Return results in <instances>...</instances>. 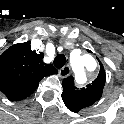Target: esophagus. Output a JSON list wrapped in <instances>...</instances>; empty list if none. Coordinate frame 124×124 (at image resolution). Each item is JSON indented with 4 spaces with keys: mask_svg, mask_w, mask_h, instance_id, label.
Listing matches in <instances>:
<instances>
[{
    "mask_svg": "<svg viewBox=\"0 0 124 124\" xmlns=\"http://www.w3.org/2000/svg\"><path fill=\"white\" fill-rule=\"evenodd\" d=\"M70 73H71V68L69 65H66L59 70V76L61 78H66L67 76L70 75Z\"/></svg>",
    "mask_w": 124,
    "mask_h": 124,
    "instance_id": "34e87169",
    "label": "esophagus"
}]
</instances>
